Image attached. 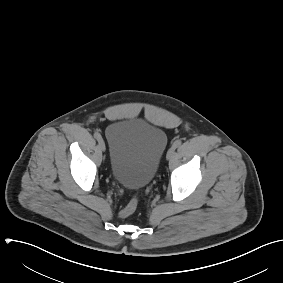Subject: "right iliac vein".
Returning a JSON list of instances; mask_svg holds the SVG:
<instances>
[{
  "label": "right iliac vein",
  "mask_w": 283,
  "mask_h": 283,
  "mask_svg": "<svg viewBox=\"0 0 283 283\" xmlns=\"http://www.w3.org/2000/svg\"><path fill=\"white\" fill-rule=\"evenodd\" d=\"M98 146H99V149H100L101 151L104 152V151L106 150V146H105V143H104L103 139H100V140H99Z\"/></svg>",
  "instance_id": "obj_1"
}]
</instances>
